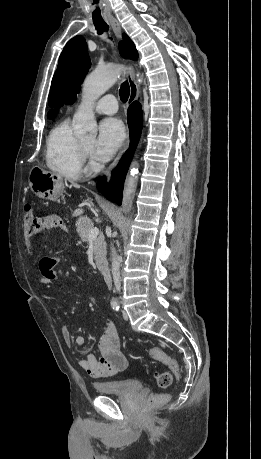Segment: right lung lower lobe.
<instances>
[{
	"instance_id": "98d812e1",
	"label": "right lung lower lobe",
	"mask_w": 261,
	"mask_h": 459,
	"mask_svg": "<svg viewBox=\"0 0 261 459\" xmlns=\"http://www.w3.org/2000/svg\"><path fill=\"white\" fill-rule=\"evenodd\" d=\"M127 121L130 129V147L121 158L116 169L112 172L110 182L104 183V178H100L97 184L103 195L108 200L117 203L119 206L122 201L125 176L135 148L138 144L143 126L142 108L139 102L135 101L129 106Z\"/></svg>"
}]
</instances>
